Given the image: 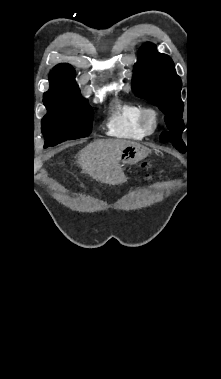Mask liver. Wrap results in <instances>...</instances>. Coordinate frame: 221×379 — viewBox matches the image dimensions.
<instances>
[{"label":"liver","instance_id":"obj_1","mask_svg":"<svg viewBox=\"0 0 221 379\" xmlns=\"http://www.w3.org/2000/svg\"><path fill=\"white\" fill-rule=\"evenodd\" d=\"M132 144L126 140H97L78 153L76 162L93 179L110 185L120 184L124 181L120 156Z\"/></svg>","mask_w":221,"mask_h":379}]
</instances>
